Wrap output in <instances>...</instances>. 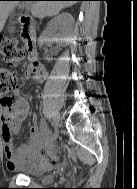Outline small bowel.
I'll return each instance as SVG.
<instances>
[{
    "label": "small bowel",
    "mask_w": 137,
    "mask_h": 189,
    "mask_svg": "<svg viewBox=\"0 0 137 189\" xmlns=\"http://www.w3.org/2000/svg\"><path fill=\"white\" fill-rule=\"evenodd\" d=\"M47 73L40 65H31L23 81L33 79L38 83L45 81ZM11 104L0 102L1 137L9 170H26L45 163L50 153L54 152L52 140L47 135L44 125H39L33 118L30 126V136L26 143L18 147L13 145L12 134L17 133L29 114V103L16 91L11 98Z\"/></svg>",
    "instance_id": "c3829d8e"
}]
</instances>
